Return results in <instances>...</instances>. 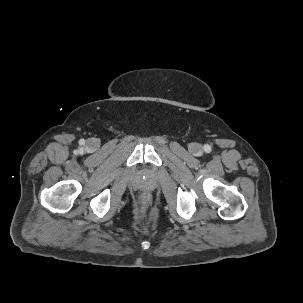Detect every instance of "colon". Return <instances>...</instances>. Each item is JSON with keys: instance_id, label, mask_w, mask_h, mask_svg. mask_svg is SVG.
Wrapping results in <instances>:
<instances>
[{"instance_id": "5ec220e1", "label": "colon", "mask_w": 303, "mask_h": 303, "mask_svg": "<svg viewBox=\"0 0 303 303\" xmlns=\"http://www.w3.org/2000/svg\"><path fill=\"white\" fill-rule=\"evenodd\" d=\"M141 203H142V206L147 209L150 204H151V197L148 193H144L142 196H141Z\"/></svg>"}]
</instances>
